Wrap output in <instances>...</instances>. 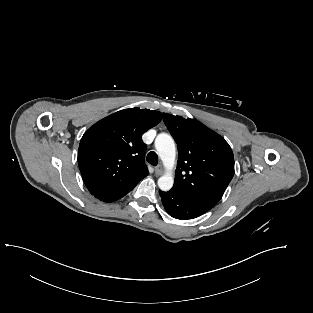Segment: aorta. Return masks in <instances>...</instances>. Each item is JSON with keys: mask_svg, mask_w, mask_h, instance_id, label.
Returning <instances> with one entry per match:
<instances>
[{"mask_svg": "<svg viewBox=\"0 0 313 313\" xmlns=\"http://www.w3.org/2000/svg\"><path fill=\"white\" fill-rule=\"evenodd\" d=\"M155 147L166 169V173L158 179V186L162 191H169L174 183L172 169L176 159L175 143L169 134L161 133L156 137Z\"/></svg>", "mask_w": 313, "mask_h": 313, "instance_id": "aorta-1", "label": "aorta"}]
</instances>
